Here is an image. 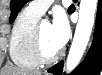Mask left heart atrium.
Here are the masks:
<instances>
[{
    "mask_svg": "<svg viewBox=\"0 0 102 75\" xmlns=\"http://www.w3.org/2000/svg\"><path fill=\"white\" fill-rule=\"evenodd\" d=\"M53 38L59 47H62L69 39L70 25L65 13L57 10L51 24Z\"/></svg>",
    "mask_w": 102,
    "mask_h": 75,
    "instance_id": "1",
    "label": "left heart atrium"
}]
</instances>
